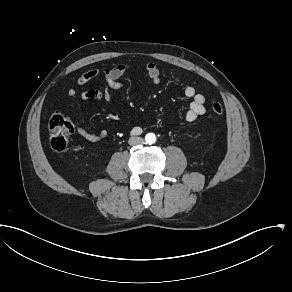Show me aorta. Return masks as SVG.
<instances>
[{
    "instance_id": "obj_1",
    "label": "aorta",
    "mask_w": 292,
    "mask_h": 292,
    "mask_svg": "<svg viewBox=\"0 0 292 292\" xmlns=\"http://www.w3.org/2000/svg\"><path fill=\"white\" fill-rule=\"evenodd\" d=\"M145 139L148 144H153L156 141V136L153 133H149L146 135Z\"/></svg>"
}]
</instances>
